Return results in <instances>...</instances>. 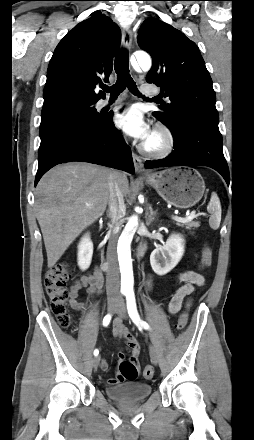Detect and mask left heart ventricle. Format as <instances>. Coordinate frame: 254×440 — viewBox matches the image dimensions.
Wrapping results in <instances>:
<instances>
[{
  "mask_svg": "<svg viewBox=\"0 0 254 440\" xmlns=\"http://www.w3.org/2000/svg\"><path fill=\"white\" fill-rule=\"evenodd\" d=\"M147 143L152 146L155 147L160 143V137L157 134H152L151 137L149 138V140L147 141Z\"/></svg>",
  "mask_w": 254,
  "mask_h": 440,
  "instance_id": "obj_1",
  "label": "left heart ventricle"
}]
</instances>
